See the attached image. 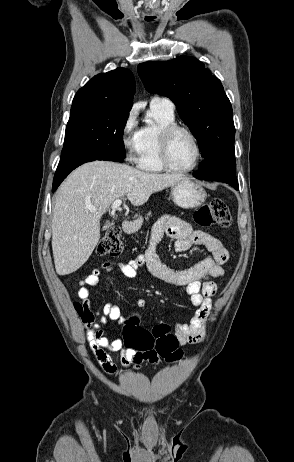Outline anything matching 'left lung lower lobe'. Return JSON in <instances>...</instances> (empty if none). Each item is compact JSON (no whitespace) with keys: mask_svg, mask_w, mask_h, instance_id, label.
I'll list each match as a JSON object with an SVG mask.
<instances>
[{"mask_svg":"<svg viewBox=\"0 0 294 462\" xmlns=\"http://www.w3.org/2000/svg\"><path fill=\"white\" fill-rule=\"evenodd\" d=\"M194 177L202 180H215L225 182L236 190L239 189L236 178L235 155H222L205 159Z\"/></svg>","mask_w":294,"mask_h":462,"instance_id":"obj_1","label":"left lung lower lobe"}]
</instances>
